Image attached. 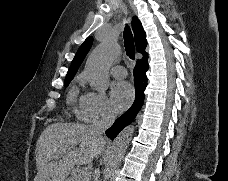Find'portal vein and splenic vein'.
Returning <instances> with one entry per match:
<instances>
[{
  "label": "portal vein and splenic vein",
  "instance_id": "18ae733b",
  "mask_svg": "<svg viewBox=\"0 0 228 181\" xmlns=\"http://www.w3.org/2000/svg\"><path fill=\"white\" fill-rule=\"evenodd\" d=\"M81 173L80 175H86L85 179H87V177H89L90 173H89V169H87V167H82V169H80ZM79 179H83V177H79Z\"/></svg>",
  "mask_w": 228,
  "mask_h": 181
}]
</instances>
